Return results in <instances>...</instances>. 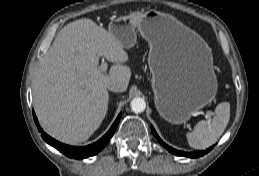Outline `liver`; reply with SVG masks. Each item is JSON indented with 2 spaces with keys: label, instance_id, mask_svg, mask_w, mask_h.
Returning a JSON list of instances; mask_svg holds the SVG:
<instances>
[{
  "label": "liver",
  "instance_id": "6515ba94",
  "mask_svg": "<svg viewBox=\"0 0 259 176\" xmlns=\"http://www.w3.org/2000/svg\"><path fill=\"white\" fill-rule=\"evenodd\" d=\"M103 56L114 63L109 73L98 67ZM128 54L109 31L90 19L64 26L42 57L33 82L38 119L52 137L69 144L86 141L108 109V86L126 91L131 70Z\"/></svg>",
  "mask_w": 259,
  "mask_h": 176
}]
</instances>
